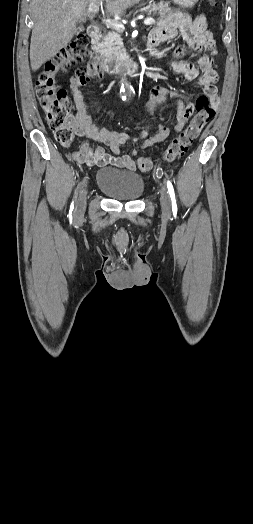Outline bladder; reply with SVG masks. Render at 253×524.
I'll return each instance as SVG.
<instances>
[{"label": "bladder", "mask_w": 253, "mask_h": 524, "mask_svg": "<svg viewBox=\"0 0 253 524\" xmlns=\"http://www.w3.org/2000/svg\"><path fill=\"white\" fill-rule=\"evenodd\" d=\"M97 186L109 199L134 201L143 194L145 183L136 172L102 168L97 174Z\"/></svg>", "instance_id": "bladder-1"}]
</instances>
